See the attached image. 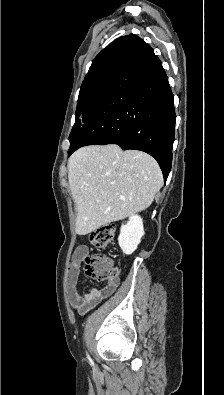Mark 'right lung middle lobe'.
<instances>
[{"instance_id":"1","label":"right lung middle lobe","mask_w":224,"mask_h":395,"mask_svg":"<svg viewBox=\"0 0 224 395\" xmlns=\"http://www.w3.org/2000/svg\"><path fill=\"white\" fill-rule=\"evenodd\" d=\"M121 70L103 74L82 84L78 97L76 121L69 136L70 148L80 137L86 124L115 85Z\"/></svg>"}]
</instances>
